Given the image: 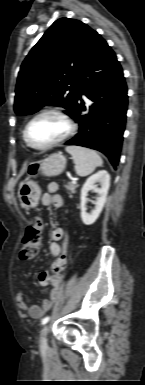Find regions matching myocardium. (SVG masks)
Returning a JSON list of instances; mask_svg holds the SVG:
<instances>
[{"label":"myocardium","mask_w":145,"mask_h":385,"mask_svg":"<svg viewBox=\"0 0 145 385\" xmlns=\"http://www.w3.org/2000/svg\"><path fill=\"white\" fill-rule=\"evenodd\" d=\"M44 115H55V116L60 117L67 125V131L62 137H60L59 139L55 140L52 143H49L45 146H36V145L32 144L29 140V129H30L31 124L36 119H38L39 117L44 116ZM76 129H77V125H76L75 121L72 119V117L65 110H63L61 108H57V107H52V108H46V109L39 111L27 122V124L24 128L23 137H24V141L27 144V146L30 147L31 149L38 150V151H44V150L51 149V148L63 143L64 141L68 140L70 137H72L75 134Z\"/></svg>","instance_id":"myocardium-1"}]
</instances>
